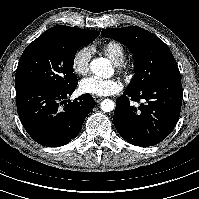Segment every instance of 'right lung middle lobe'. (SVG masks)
<instances>
[{
  "label": "right lung middle lobe",
  "mask_w": 199,
  "mask_h": 199,
  "mask_svg": "<svg viewBox=\"0 0 199 199\" xmlns=\"http://www.w3.org/2000/svg\"><path fill=\"white\" fill-rule=\"evenodd\" d=\"M95 37H61L43 33L24 50L16 70L15 88L65 89L78 83L73 73L78 48Z\"/></svg>",
  "instance_id": "right-lung-middle-lobe-1"
}]
</instances>
